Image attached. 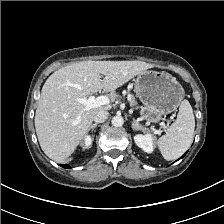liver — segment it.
Masks as SVG:
<instances>
[{
    "instance_id": "6515ba94",
    "label": "liver",
    "mask_w": 224,
    "mask_h": 224,
    "mask_svg": "<svg viewBox=\"0 0 224 224\" xmlns=\"http://www.w3.org/2000/svg\"><path fill=\"white\" fill-rule=\"evenodd\" d=\"M153 64L142 61H82L62 67L46 80L35 114V128L43 152L56 162L71 156L83 141L98 111L85 110L76 98L105 91L113 101L115 90ZM101 75L104 78L101 79Z\"/></svg>"
}]
</instances>
